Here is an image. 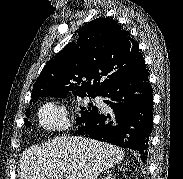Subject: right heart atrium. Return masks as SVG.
Returning <instances> with one entry per match:
<instances>
[{
    "label": "right heart atrium",
    "instance_id": "1",
    "mask_svg": "<svg viewBox=\"0 0 183 179\" xmlns=\"http://www.w3.org/2000/svg\"><path fill=\"white\" fill-rule=\"evenodd\" d=\"M40 123L47 129L60 130L67 126L66 109L53 103L44 105L39 113Z\"/></svg>",
    "mask_w": 183,
    "mask_h": 179
}]
</instances>
